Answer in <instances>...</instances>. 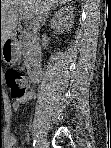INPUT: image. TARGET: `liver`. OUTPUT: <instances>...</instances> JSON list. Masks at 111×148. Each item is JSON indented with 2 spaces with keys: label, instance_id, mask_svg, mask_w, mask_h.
Segmentation results:
<instances>
[{
  "label": "liver",
  "instance_id": "liver-1",
  "mask_svg": "<svg viewBox=\"0 0 111 148\" xmlns=\"http://www.w3.org/2000/svg\"><path fill=\"white\" fill-rule=\"evenodd\" d=\"M41 1H7L3 3V18H2V41L4 42L10 31L13 29V27L16 25L17 19H18V14L12 13L10 10L8 12V15L5 14L6 11L8 10V7L11 5L16 6H24L25 9H27V12H31L30 15L37 13L38 11L41 10L40 6ZM49 1H43L44 4H47ZM16 12V11H15Z\"/></svg>",
  "mask_w": 111,
  "mask_h": 148
}]
</instances>
